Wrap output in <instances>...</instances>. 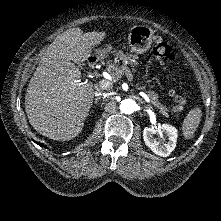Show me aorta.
Returning a JSON list of instances; mask_svg holds the SVG:
<instances>
[{
	"label": "aorta",
	"instance_id": "762f6f07",
	"mask_svg": "<svg viewBox=\"0 0 221 221\" xmlns=\"http://www.w3.org/2000/svg\"><path fill=\"white\" fill-rule=\"evenodd\" d=\"M136 102L133 99H124L120 103V110L124 114H132L136 110Z\"/></svg>",
	"mask_w": 221,
	"mask_h": 221
}]
</instances>
